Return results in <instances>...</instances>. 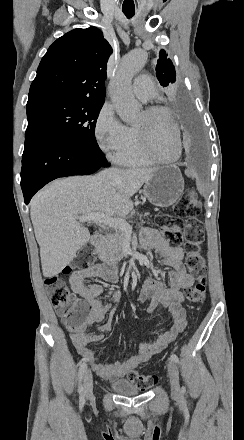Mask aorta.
I'll list each match as a JSON object with an SVG mask.
<instances>
[{
    "instance_id": "1",
    "label": "aorta",
    "mask_w": 244,
    "mask_h": 440,
    "mask_svg": "<svg viewBox=\"0 0 244 440\" xmlns=\"http://www.w3.org/2000/svg\"><path fill=\"white\" fill-rule=\"evenodd\" d=\"M147 54L143 50H134L123 57L120 68L110 81L109 91L113 105L125 123L134 122L141 105L132 93V79L145 65Z\"/></svg>"
}]
</instances>
